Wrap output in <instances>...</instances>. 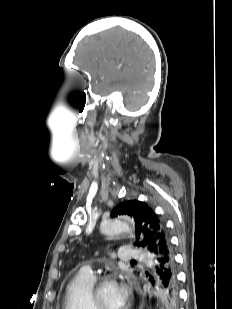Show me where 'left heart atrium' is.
Here are the masks:
<instances>
[{"mask_svg":"<svg viewBox=\"0 0 232 309\" xmlns=\"http://www.w3.org/2000/svg\"><path fill=\"white\" fill-rule=\"evenodd\" d=\"M122 293L125 299H127V290L124 286H122Z\"/></svg>","mask_w":232,"mask_h":309,"instance_id":"obj_1","label":"left heart atrium"}]
</instances>
